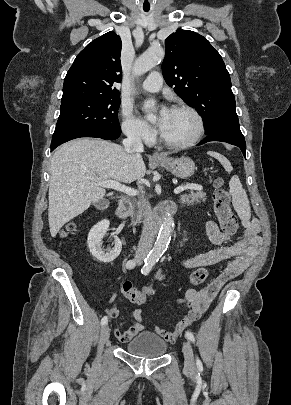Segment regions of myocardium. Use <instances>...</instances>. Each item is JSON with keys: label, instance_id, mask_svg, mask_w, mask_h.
Segmentation results:
<instances>
[{"label": "myocardium", "instance_id": "f54148a6", "mask_svg": "<svg viewBox=\"0 0 291 405\" xmlns=\"http://www.w3.org/2000/svg\"><path fill=\"white\" fill-rule=\"evenodd\" d=\"M171 110H185V111L189 112L196 121V124H197L196 133L194 134V136L191 139H189L186 142H182V143H174V142L168 141L162 135V133H160L159 141L167 148L176 149V150H183V149H187V148L194 146L196 143H198L201 140V138L203 137V135L205 133V122H204L202 115L194 107H192L188 104H185V103L175 104L171 107Z\"/></svg>", "mask_w": 291, "mask_h": 405}]
</instances>
